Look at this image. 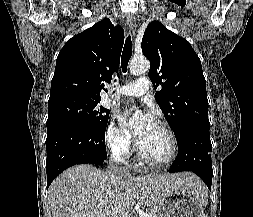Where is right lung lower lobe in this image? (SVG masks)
Returning a JSON list of instances; mask_svg holds the SVG:
<instances>
[{
  "instance_id": "1",
  "label": "right lung lower lobe",
  "mask_w": 253,
  "mask_h": 217,
  "mask_svg": "<svg viewBox=\"0 0 253 217\" xmlns=\"http://www.w3.org/2000/svg\"><path fill=\"white\" fill-rule=\"evenodd\" d=\"M105 130L75 123L47 129V188L65 169L76 164L101 165L107 159Z\"/></svg>"
}]
</instances>
